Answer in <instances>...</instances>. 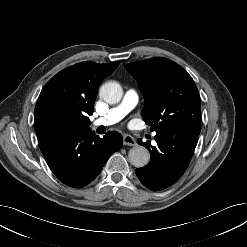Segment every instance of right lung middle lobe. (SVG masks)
I'll list each match as a JSON object with an SVG mask.
<instances>
[{"label":"right lung middle lobe","instance_id":"1","mask_svg":"<svg viewBox=\"0 0 247 247\" xmlns=\"http://www.w3.org/2000/svg\"><path fill=\"white\" fill-rule=\"evenodd\" d=\"M77 125L67 119H57L50 123L48 130L49 131H69V130H77Z\"/></svg>","mask_w":247,"mask_h":247}]
</instances>
